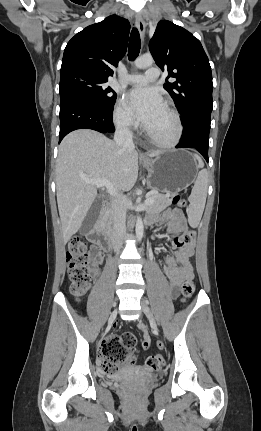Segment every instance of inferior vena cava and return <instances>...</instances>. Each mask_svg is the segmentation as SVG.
<instances>
[{
    "mask_svg": "<svg viewBox=\"0 0 261 431\" xmlns=\"http://www.w3.org/2000/svg\"><path fill=\"white\" fill-rule=\"evenodd\" d=\"M114 141L123 149H134L135 147L132 131L124 124L117 127L114 134ZM110 213L113 223L112 244L115 252L118 253L123 245L126 233V212L124 208V197L122 195L112 199Z\"/></svg>",
    "mask_w": 261,
    "mask_h": 431,
    "instance_id": "inferior-vena-cava-1",
    "label": "inferior vena cava"
}]
</instances>
